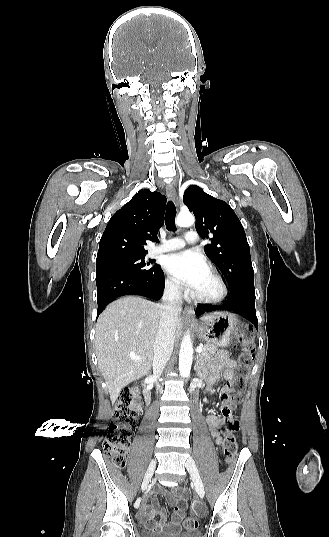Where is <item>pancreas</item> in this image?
I'll return each instance as SVG.
<instances>
[{"label":"pancreas","instance_id":"obj_1","mask_svg":"<svg viewBox=\"0 0 329 537\" xmlns=\"http://www.w3.org/2000/svg\"><path fill=\"white\" fill-rule=\"evenodd\" d=\"M217 351V347L214 345H205L203 347L202 353L198 355V362H205L211 359L212 355H214Z\"/></svg>","mask_w":329,"mask_h":537}]
</instances>
